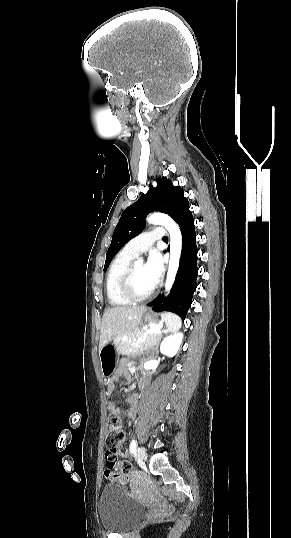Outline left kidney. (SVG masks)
I'll list each match as a JSON object with an SVG mask.
<instances>
[{
	"label": "left kidney",
	"instance_id": "5707ae66",
	"mask_svg": "<svg viewBox=\"0 0 291 538\" xmlns=\"http://www.w3.org/2000/svg\"><path fill=\"white\" fill-rule=\"evenodd\" d=\"M183 340V334L180 332H174L170 334L162 341L160 345V352L168 357H173L180 349Z\"/></svg>",
	"mask_w": 291,
	"mask_h": 538
}]
</instances>
